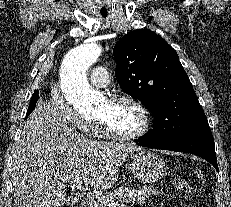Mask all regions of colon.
<instances>
[{
    "mask_svg": "<svg viewBox=\"0 0 231 207\" xmlns=\"http://www.w3.org/2000/svg\"><path fill=\"white\" fill-rule=\"evenodd\" d=\"M177 188L185 198H191L194 193L193 187L184 179L177 181Z\"/></svg>",
    "mask_w": 231,
    "mask_h": 207,
    "instance_id": "obj_1",
    "label": "colon"
}]
</instances>
